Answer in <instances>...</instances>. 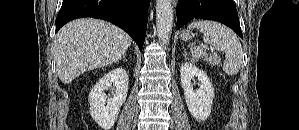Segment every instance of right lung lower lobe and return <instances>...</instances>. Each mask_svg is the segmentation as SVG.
I'll return each instance as SVG.
<instances>
[{
    "mask_svg": "<svg viewBox=\"0 0 299 130\" xmlns=\"http://www.w3.org/2000/svg\"><path fill=\"white\" fill-rule=\"evenodd\" d=\"M149 3V0H63L56 18V32L71 20L94 17L122 28L142 50Z\"/></svg>",
    "mask_w": 299,
    "mask_h": 130,
    "instance_id": "1",
    "label": "right lung lower lobe"
}]
</instances>
